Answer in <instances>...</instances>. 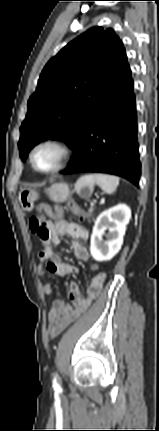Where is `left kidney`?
Wrapping results in <instances>:
<instances>
[{
	"label": "left kidney",
	"instance_id": "left-kidney-1",
	"mask_svg": "<svg viewBox=\"0 0 159 431\" xmlns=\"http://www.w3.org/2000/svg\"><path fill=\"white\" fill-rule=\"evenodd\" d=\"M130 218V208L125 204L105 210L97 217L90 244V253L96 261H109L119 252Z\"/></svg>",
	"mask_w": 159,
	"mask_h": 431
}]
</instances>
